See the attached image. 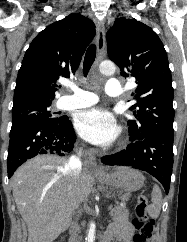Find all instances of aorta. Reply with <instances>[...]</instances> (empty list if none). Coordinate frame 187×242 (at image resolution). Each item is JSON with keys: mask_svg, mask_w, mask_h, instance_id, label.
Returning a JSON list of instances; mask_svg holds the SVG:
<instances>
[{"mask_svg": "<svg viewBox=\"0 0 187 242\" xmlns=\"http://www.w3.org/2000/svg\"><path fill=\"white\" fill-rule=\"evenodd\" d=\"M99 70L104 75H112L115 73L116 67L115 64L111 61H103L99 65ZM95 238V224L92 223L89 229L87 242H93Z\"/></svg>", "mask_w": 187, "mask_h": 242, "instance_id": "1", "label": "aorta"}]
</instances>
